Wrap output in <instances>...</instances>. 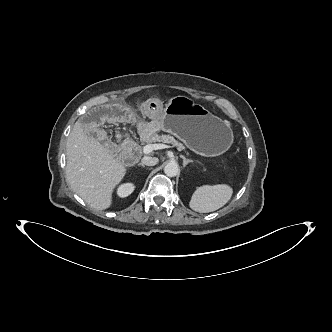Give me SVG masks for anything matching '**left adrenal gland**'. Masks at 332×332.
Wrapping results in <instances>:
<instances>
[{
    "mask_svg": "<svg viewBox=\"0 0 332 332\" xmlns=\"http://www.w3.org/2000/svg\"><path fill=\"white\" fill-rule=\"evenodd\" d=\"M183 159V167L185 168L187 164L192 163L193 161L190 159H187L185 156L181 155L180 156Z\"/></svg>",
    "mask_w": 332,
    "mask_h": 332,
    "instance_id": "left-adrenal-gland-1",
    "label": "left adrenal gland"
}]
</instances>
